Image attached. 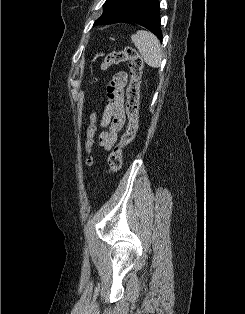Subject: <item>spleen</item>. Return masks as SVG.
Instances as JSON below:
<instances>
[{"label": "spleen", "instance_id": "spleen-1", "mask_svg": "<svg viewBox=\"0 0 245 314\" xmlns=\"http://www.w3.org/2000/svg\"><path fill=\"white\" fill-rule=\"evenodd\" d=\"M131 40L147 65L153 68L161 66L162 49L159 40L154 34L139 30L136 34L131 35Z\"/></svg>", "mask_w": 245, "mask_h": 314}]
</instances>
